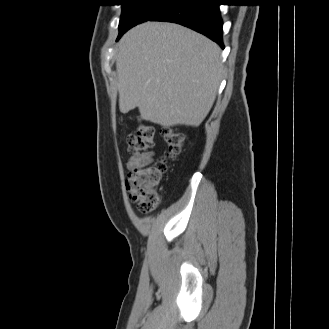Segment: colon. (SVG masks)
Returning a JSON list of instances; mask_svg holds the SVG:
<instances>
[{
    "label": "colon",
    "mask_w": 329,
    "mask_h": 329,
    "mask_svg": "<svg viewBox=\"0 0 329 329\" xmlns=\"http://www.w3.org/2000/svg\"><path fill=\"white\" fill-rule=\"evenodd\" d=\"M155 130L152 126L139 123L137 132L126 137L128 150L133 153H143L154 146ZM166 153L154 164L134 168L126 181V190L132 202L141 211L147 212L160 204L157 192L162 176L167 170V162L177 158L184 148L183 134L174 128L163 130Z\"/></svg>",
    "instance_id": "obj_1"
}]
</instances>
